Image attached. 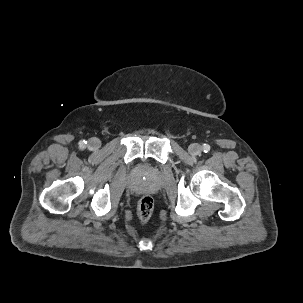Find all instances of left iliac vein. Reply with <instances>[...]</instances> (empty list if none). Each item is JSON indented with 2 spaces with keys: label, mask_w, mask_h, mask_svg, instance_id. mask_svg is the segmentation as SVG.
Wrapping results in <instances>:
<instances>
[{
  "label": "left iliac vein",
  "mask_w": 303,
  "mask_h": 303,
  "mask_svg": "<svg viewBox=\"0 0 303 303\" xmlns=\"http://www.w3.org/2000/svg\"><path fill=\"white\" fill-rule=\"evenodd\" d=\"M201 150H202L201 146L197 143L191 144L188 148L189 153L194 156L200 154Z\"/></svg>",
  "instance_id": "4c4485c4"
}]
</instances>
